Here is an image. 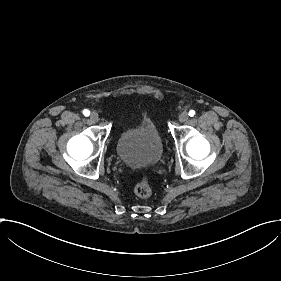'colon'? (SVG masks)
<instances>
[{
  "label": "colon",
  "mask_w": 281,
  "mask_h": 281,
  "mask_svg": "<svg viewBox=\"0 0 281 281\" xmlns=\"http://www.w3.org/2000/svg\"><path fill=\"white\" fill-rule=\"evenodd\" d=\"M131 190L136 198H147L152 194L153 186L148 180H140L132 185Z\"/></svg>",
  "instance_id": "5ec220e1"
}]
</instances>
